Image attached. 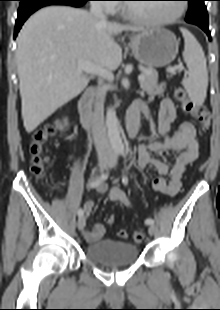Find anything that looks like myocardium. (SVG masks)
Listing matches in <instances>:
<instances>
[{
	"label": "myocardium",
	"instance_id": "f54148a6",
	"mask_svg": "<svg viewBox=\"0 0 220 310\" xmlns=\"http://www.w3.org/2000/svg\"><path fill=\"white\" fill-rule=\"evenodd\" d=\"M184 12H185V5L183 4V2H180L178 4V9L174 15L168 18H165V19L152 20V19H148V18L132 13L129 10V6L127 4H124L122 6V13L127 19L135 23H139V24L146 25V26H153V27H162V26L170 25L176 22L177 20H179L183 16Z\"/></svg>",
	"mask_w": 220,
	"mask_h": 310
}]
</instances>
